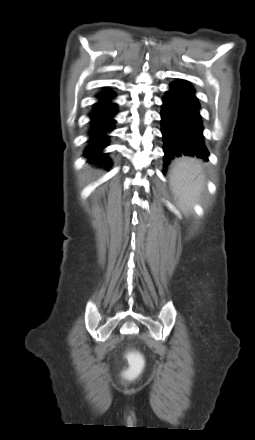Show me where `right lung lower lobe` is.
<instances>
[{
  "mask_svg": "<svg viewBox=\"0 0 255 440\" xmlns=\"http://www.w3.org/2000/svg\"><path fill=\"white\" fill-rule=\"evenodd\" d=\"M116 94L106 88L96 95L98 101L89 113V145L85 148L84 155L91 156L90 161L102 162V165L111 166V160L102 150L109 145V133L115 129V115L118 105L114 102Z\"/></svg>",
  "mask_w": 255,
  "mask_h": 440,
  "instance_id": "right-lung-lower-lobe-1",
  "label": "right lung lower lobe"
}]
</instances>
